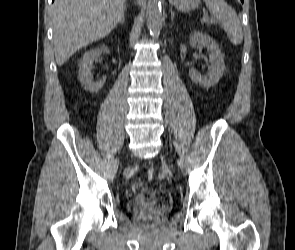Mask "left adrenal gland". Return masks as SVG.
<instances>
[{
  "instance_id": "left-adrenal-gland-1",
  "label": "left adrenal gland",
  "mask_w": 295,
  "mask_h": 250,
  "mask_svg": "<svg viewBox=\"0 0 295 250\" xmlns=\"http://www.w3.org/2000/svg\"><path fill=\"white\" fill-rule=\"evenodd\" d=\"M170 12H171V20L173 21V20H174V15H175V13H174V11L172 10V8L170 9Z\"/></svg>"
}]
</instances>
